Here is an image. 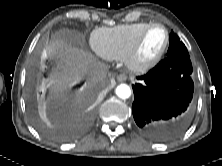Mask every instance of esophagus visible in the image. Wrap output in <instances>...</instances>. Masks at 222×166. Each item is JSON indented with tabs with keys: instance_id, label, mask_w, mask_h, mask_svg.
Listing matches in <instances>:
<instances>
[{
	"instance_id": "obj_1",
	"label": "esophagus",
	"mask_w": 222,
	"mask_h": 166,
	"mask_svg": "<svg viewBox=\"0 0 222 166\" xmlns=\"http://www.w3.org/2000/svg\"><path fill=\"white\" fill-rule=\"evenodd\" d=\"M117 80H118L119 82H124V81L127 80V75H126V74H119V75L117 76Z\"/></svg>"
}]
</instances>
